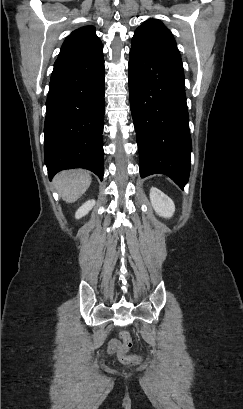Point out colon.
<instances>
[{
  "label": "colon",
  "mask_w": 243,
  "mask_h": 409,
  "mask_svg": "<svg viewBox=\"0 0 243 409\" xmlns=\"http://www.w3.org/2000/svg\"><path fill=\"white\" fill-rule=\"evenodd\" d=\"M121 347L118 351V359L125 364H137L141 361V357L136 354H131L130 349L132 346V340L130 334L126 331L122 332L121 335Z\"/></svg>",
  "instance_id": "colon-1"
}]
</instances>
